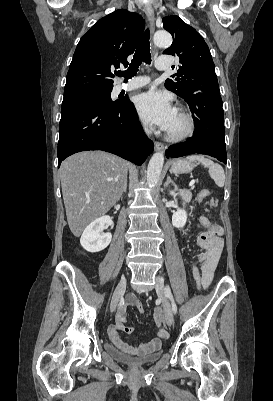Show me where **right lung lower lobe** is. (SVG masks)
Returning <instances> with one entry per match:
<instances>
[{
  "instance_id": "right-lung-lower-lobe-1",
  "label": "right lung lower lobe",
  "mask_w": 273,
  "mask_h": 401,
  "mask_svg": "<svg viewBox=\"0 0 273 401\" xmlns=\"http://www.w3.org/2000/svg\"><path fill=\"white\" fill-rule=\"evenodd\" d=\"M153 147L128 99L110 107L86 105L61 113L58 167L66 157L85 150H104L141 165Z\"/></svg>"
}]
</instances>
